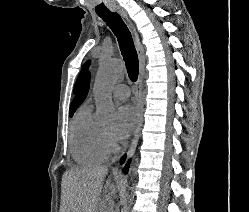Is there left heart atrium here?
I'll return each instance as SVG.
<instances>
[{
  "label": "left heart atrium",
  "mask_w": 249,
  "mask_h": 212,
  "mask_svg": "<svg viewBox=\"0 0 249 212\" xmlns=\"http://www.w3.org/2000/svg\"><path fill=\"white\" fill-rule=\"evenodd\" d=\"M136 122L137 112L133 106L123 105L119 107L113 132L115 142H123L133 131Z\"/></svg>",
  "instance_id": "39dd6f15"
}]
</instances>
